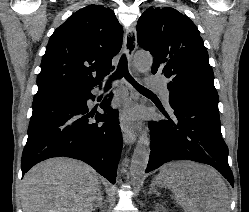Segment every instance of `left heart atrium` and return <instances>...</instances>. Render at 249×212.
<instances>
[{
	"instance_id": "39dd6f15",
	"label": "left heart atrium",
	"mask_w": 249,
	"mask_h": 212,
	"mask_svg": "<svg viewBox=\"0 0 249 212\" xmlns=\"http://www.w3.org/2000/svg\"><path fill=\"white\" fill-rule=\"evenodd\" d=\"M134 117H135L134 113H130V114L127 116L128 119H133Z\"/></svg>"
}]
</instances>
